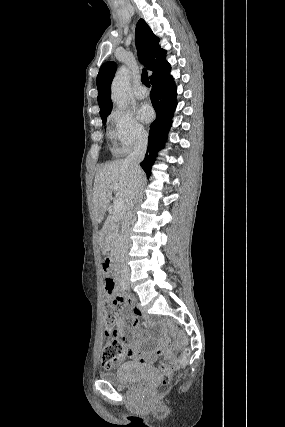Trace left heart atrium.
<instances>
[{"mask_svg": "<svg viewBox=\"0 0 285 427\" xmlns=\"http://www.w3.org/2000/svg\"><path fill=\"white\" fill-rule=\"evenodd\" d=\"M138 119L142 122H149L153 118V110L150 105L141 104L137 110Z\"/></svg>", "mask_w": 285, "mask_h": 427, "instance_id": "1", "label": "left heart atrium"}]
</instances>
